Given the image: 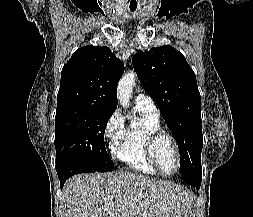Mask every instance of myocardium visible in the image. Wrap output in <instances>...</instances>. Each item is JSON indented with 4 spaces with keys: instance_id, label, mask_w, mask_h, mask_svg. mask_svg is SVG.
<instances>
[{
    "instance_id": "myocardium-1",
    "label": "myocardium",
    "mask_w": 253,
    "mask_h": 217,
    "mask_svg": "<svg viewBox=\"0 0 253 217\" xmlns=\"http://www.w3.org/2000/svg\"><path fill=\"white\" fill-rule=\"evenodd\" d=\"M166 137L170 140V142L173 145L175 154H176V169L173 173L171 174H166L162 171L157 158L155 154V146L156 143L158 142L159 139ZM145 147V152L146 156L149 160V162L152 164V166L156 169V171L163 177H171L174 176L180 169L181 166V154H180V149L177 140L175 137L168 131L163 130V129H157L152 132H150L145 139L144 143Z\"/></svg>"
}]
</instances>
